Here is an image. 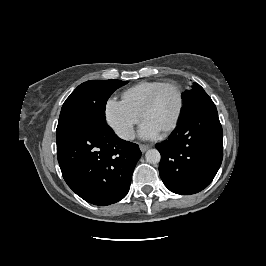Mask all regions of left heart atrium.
<instances>
[{
  "mask_svg": "<svg viewBox=\"0 0 266 266\" xmlns=\"http://www.w3.org/2000/svg\"><path fill=\"white\" fill-rule=\"evenodd\" d=\"M159 132L160 130L158 128L153 126L150 122L144 120L141 125L139 135L141 138L151 139L156 137L159 134Z\"/></svg>",
  "mask_w": 266,
  "mask_h": 266,
  "instance_id": "obj_1",
  "label": "left heart atrium"
}]
</instances>
